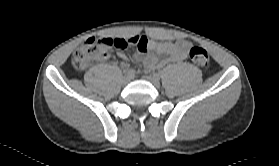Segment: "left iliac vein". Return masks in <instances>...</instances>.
Returning a JSON list of instances; mask_svg holds the SVG:
<instances>
[{"label": "left iliac vein", "instance_id": "obj_1", "mask_svg": "<svg viewBox=\"0 0 279 166\" xmlns=\"http://www.w3.org/2000/svg\"><path fill=\"white\" fill-rule=\"evenodd\" d=\"M146 80L151 82L156 88L160 87V78L155 75L145 76Z\"/></svg>", "mask_w": 279, "mask_h": 166}]
</instances>
